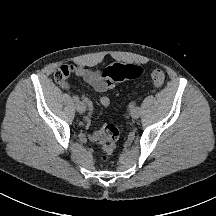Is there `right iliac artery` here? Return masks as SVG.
Listing matches in <instances>:
<instances>
[{
    "label": "right iliac artery",
    "instance_id": "82829eb1",
    "mask_svg": "<svg viewBox=\"0 0 216 216\" xmlns=\"http://www.w3.org/2000/svg\"><path fill=\"white\" fill-rule=\"evenodd\" d=\"M73 100H74V102L77 103V102H79V97L75 95V96H73Z\"/></svg>",
    "mask_w": 216,
    "mask_h": 216
}]
</instances>
